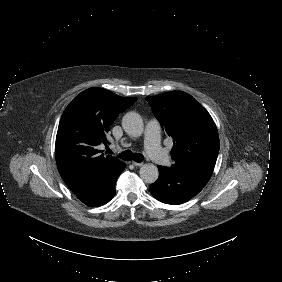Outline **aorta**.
Instances as JSON below:
<instances>
[{
  "label": "aorta",
  "instance_id": "obj_1",
  "mask_svg": "<svg viewBox=\"0 0 282 282\" xmlns=\"http://www.w3.org/2000/svg\"><path fill=\"white\" fill-rule=\"evenodd\" d=\"M122 126L125 132L133 137H138L143 133V120L140 114L131 111L127 112L122 119ZM140 177L146 183H154L158 179L159 171L157 166L147 163L140 168Z\"/></svg>",
  "mask_w": 282,
  "mask_h": 282
}]
</instances>
